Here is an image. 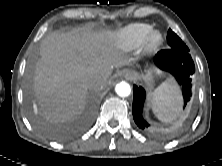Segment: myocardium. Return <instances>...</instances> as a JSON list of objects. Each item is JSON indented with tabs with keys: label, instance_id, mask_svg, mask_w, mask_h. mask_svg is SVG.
<instances>
[{
	"label": "myocardium",
	"instance_id": "f54148a6",
	"mask_svg": "<svg viewBox=\"0 0 222 166\" xmlns=\"http://www.w3.org/2000/svg\"><path fill=\"white\" fill-rule=\"evenodd\" d=\"M163 34L156 29H151L145 36L141 46L142 50L146 53L156 51L163 42Z\"/></svg>",
	"mask_w": 222,
	"mask_h": 166
}]
</instances>
